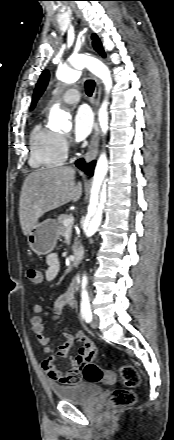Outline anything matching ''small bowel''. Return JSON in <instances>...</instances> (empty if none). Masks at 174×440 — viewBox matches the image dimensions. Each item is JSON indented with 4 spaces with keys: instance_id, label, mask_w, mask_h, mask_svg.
Returning <instances> with one entry per match:
<instances>
[{
    "instance_id": "small-bowel-1",
    "label": "small bowel",
    "mask_w": 174,
    "mask_h": 440,
    "mask_svg": "<svg viewBox=\"0 0 174 440\" xmlns=\"http://www.w3.org/2000/svg\"><path fill=\"white\" fill-rule=\"evenodd\" d=\"M47 268L45 270V279L47 281L55 280L61 269L60 260L57 253L52 252L46 258ZM75 282L70 281L65 292L57 297L50 306L53 313V319L57 320L66 307L71 310L76 309ZM33 312L35 315L31 318V325L36 334L37 341L44 347V352L51 355L52 358L47 359L44 364L47 365L45 372L50 380L64 385H72L80 382L83 366L88 361H93L96 357L97 349L91 339L83 332L77 331L75 334L66 333L65 341L59 348L49 346V338L46 335V328L40 314L46 311V307L40 304H34ZM78 343V349L75 354L70 355L69 351ZM55 358H69L71 369L62 372L56 365Z\"/></svg>"
}]
</instances>
